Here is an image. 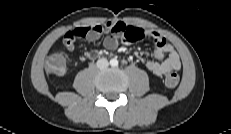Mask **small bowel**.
<instances>
[{"label": "small bowel", "instance_id": "obj_1", "mask_svg": "<svg viewBox=\"0 0 231 134\" xmlns=\"http://www.w3.org/2000/svg\"><path fill=\"white\" fill-rule=\"evenodd\" d=\"M102 34H107L104 39V47L114 50L120 44H129L148 36L155 45L152 52L140 53L139 56L145 63L147 69L157 76H163L172 70H179L181 60L172 44L158 33L146 32L141 28L126 25L120 21L108 22L92 27H80L68 31L64 36V44L69 50H74L78 38H85L92 42ZM101 54L98 50H86L80 56L81 61L91 60ZM166 55V58H165Z\"/></svg>", "mask_w": 231, "mask_h": 134}]
</instances>
